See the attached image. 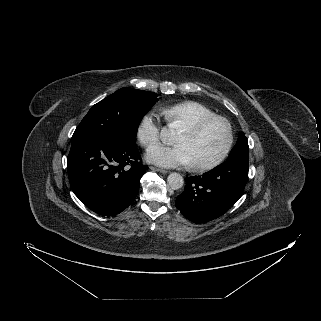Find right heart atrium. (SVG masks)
Returning <instances> with one entry per match:
<instances>
[{
  "mask_svg": "<svg viewBox=\"0 0 321 321\" xmlns=\"http://www.w3.org/2000/svg\"><path fill=\"white\" fill-rule=\"evenodd\" d=\"M137 137L139 142L145 147L159 141L161 126L156 112L151 111L142 117L137 127Z\"/></svg>",
  "mask_w": 321,
  "mask_h": 321,
  "instance_id": "obj_1",
  "label": "right heart atrium"
}]
</instances>
